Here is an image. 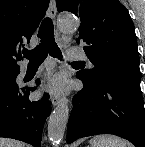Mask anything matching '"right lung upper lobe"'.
I'll use <instances>...</instances> for the list:
<instances>
[{
    "mask_svg": "<svg viewBox=\"0 0 145 147\" xmlns=\"http://www.w3.org/2000/svg\"><path fill=\"white\" fill-rule=\"evenodd\" d=\"M49 0H0V74L19 71L21 44L29 42Z\"/></svg>",
    "mask_w": 145,
    "mask_h": 147,
    "instance_id": "obj_1",
    "label": "right lung upper lobe"
}]
</instances>
